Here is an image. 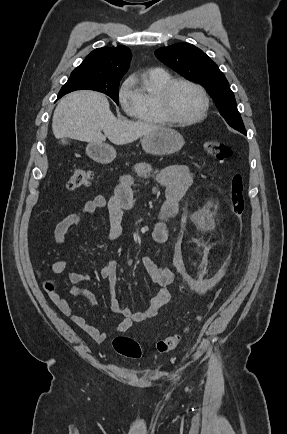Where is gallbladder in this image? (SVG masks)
Wrapping results in <instances>:
<instances>
[{"label": "gallbladder", "instance_id": "gallbladder-1", "mask_svg": "<svg viewBox=\"0 0 287 434\" xmlns=\"http://www.w3.org/2000/svg\"><path fill=\"white\" fill-rule=\"evenodd\" d=\"M69 140L68 139H66V138H63V139H61V141H60V143L62 144V145H67V144H69Z\"/></svg>", "mask_w": 287, "mask_h": 434}]
</instances>
